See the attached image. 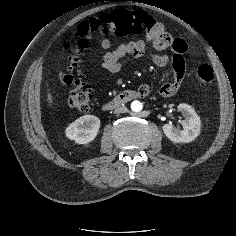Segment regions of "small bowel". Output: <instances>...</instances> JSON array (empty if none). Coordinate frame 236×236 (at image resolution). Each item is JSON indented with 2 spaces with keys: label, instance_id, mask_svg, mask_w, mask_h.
<instances>
[{
  "label": "small bowel",
  "instance_id": "1",
  "mask_svg": "<svg viewBox=\"0 0 236 236\" xmlns=\"http://www.w3.org/2000/svg\"><path fill=\"white\" fill-rule=\"evenodd\" d=\"M162 26L161 24H159ZM163 27V26H162ZM111 41L103 38L100 46L104 51L102 68L110 74H117L123 66V61L128 57L139 58L148 54L151 62L157 67H165L170 62L173 70L172 80L165 82L160 88V94L165 97L174 95L180 88L185 77V53L188 50L187 42L183 38H172L169 42L154 32H147L145 40L127 41L111 49ZM152 46L157 51L170 48L173 52L170 57L165 53H155L148 50ZM60 78L62 75L60 74ZM142 96L149 93L147 85H141L138 90Z\"/></svg>",
  "mask_w": 236,
  "mask_h": 236
}]
</instances>
